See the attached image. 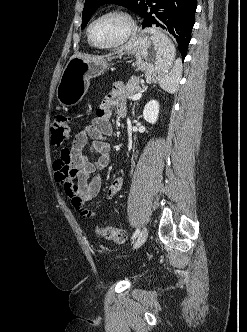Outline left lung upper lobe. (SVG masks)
Segmentation results:
<instances>
[{"label": "left lung upper lobe", "mask_w": 247, "mask_h": 332, "mask_svg": "<svg viewBox=\"0 0 247 332\" xmlns=\"http://www.w3.org/2000/svg\"><path fill=\"white\" fill-rule=\"evenodd\" d=\"M145 1L146 0H85V5L82 13L83 20L81 29L85 28L92 14L101 5L109 3L122 5L140 15L142 10L144 9Z\"/></svg>", "instance_id": "obj_1"}]
</instances>
